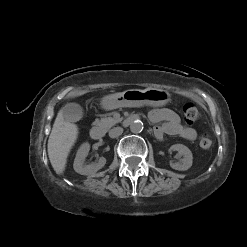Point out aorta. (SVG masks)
Returning <instances> with one entry per match:
<instances>
[{
  "mask_svg": "<svg viewBox=\"0 0 247 247\" xmlns=\"http://www.w3.org/2000/svg\"><path fill=\"white\" fill-rule=\"evenodd\" d=\"M143 128H144L143 123L140 120H135L130 124V131L134 134H138L142 132Z\"/></svg>",
  "mask_w": 247,
  "mask_h": 247,
  "instance_id": "762f6f07",
  "label": "aorta"
}]
</instances>
